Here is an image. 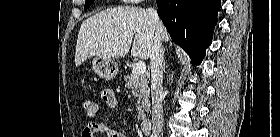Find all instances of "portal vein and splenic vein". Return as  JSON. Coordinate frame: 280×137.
Returning <instances> with one entry per match:
<instances>
[{"instance_id": "18ae733b", "label": "portal vein and splenic vein", "mask_w": 280, "mask_h": 137, "mask_svg": "<svg viewBox=\"0 0 280 137\" xmlns=\"http://www.w3.org/2000/svg\"><path fill=\"white\" fill-rule=\"evenodd\" d=\"M135 72L139 75H144L146 72V65L143 61H138L136 63Z\"/></svg>"}]
</instances>
